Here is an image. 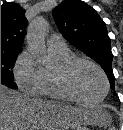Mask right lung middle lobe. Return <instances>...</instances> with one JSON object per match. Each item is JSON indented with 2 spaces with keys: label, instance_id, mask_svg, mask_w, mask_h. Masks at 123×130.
I'll list each match as a JSON object with an SVG mask.
<instances>
[{
  "label": "right lung middle lobe",
  "instance_id": "dd1d6c3e",
  "mask_svg": "<svg viewBox=\"0 0 123 130\" xmlns=\"http://www.w3.org/2000/svg\"><path fill=\"white\" fill-rule=\"evenodd\" d=\"M19 51L1 52V84L16 89L12 68L14 67Z\"/></svg>",
  "mask_w": 123,
  "mask_h": 130
}]
</instances>
